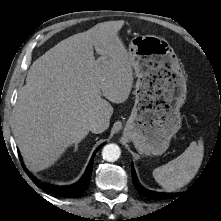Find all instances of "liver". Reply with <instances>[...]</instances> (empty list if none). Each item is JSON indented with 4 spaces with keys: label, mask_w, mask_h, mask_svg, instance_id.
<instances>
[{
    "label": "liver",
    "mask_w": 221,
    "mask_h": 221,
    "mask_svg": "<svg viewBox=\"0 0 221 221\" xmlns=\"http://www.w3.org/2000/svg\"><path fill=\"white\" fill-rule=\"evenodd\" d=\"M123 25L122 20L99 23L33 62L14 113L16 142L32 170L54 164L88 134L92 121L102 120L107 129L113 114L109 101L128 99L133 66L118 35Z\"/></svg>",
    "instance_id": "liver-1"
}]
</instances>
